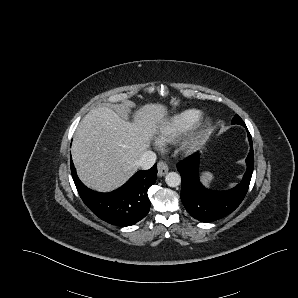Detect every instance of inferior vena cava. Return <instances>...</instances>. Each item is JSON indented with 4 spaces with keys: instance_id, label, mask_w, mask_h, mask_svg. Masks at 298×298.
Returning a JSON list of instances; mask_svg holds the SVG:
<instances>
[{
    "instance_id": "inferior-vena-cava-1",
    "label": "inferior vena cava",
    "mask_w": 298,
    "mask_h": 298,
    "mask_svg": "<svg viewBox=\"0 0 298 298\" xmlns=\"http://www.w3.org/2000/svg\"><path fill=\"white\" fill-rule=\"evenodd\" d=\"M156 153L152 150H147L143 153L141 158L136 162V164L142 169H148L152 167L156 162Z\"/></svg>"
}]
</instances>
